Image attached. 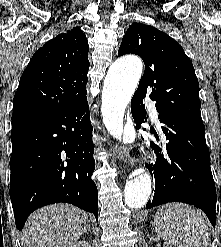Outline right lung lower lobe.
<instances>
[{
  "label": "right lung lower lobe",
  "mask_w": 221,
  "mask_h": 247,
  "mask_svg": "<svg viewBox=\"0 0 221 247\" xmlns=\"http://www.w3.org/2000/svg\"><path fill=\"white\" fill-rule=\"evenodd\" d=\"M87 97L57 111L12 120L10 198L16 227L48 204L71 203L98 219Z\"/></svg>",
  "instance_id": "1"
}]
</instances>
